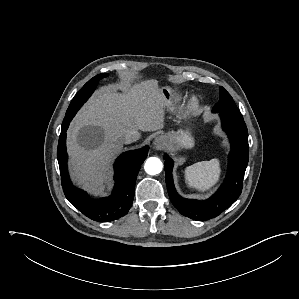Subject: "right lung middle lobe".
Here are the masks:
<instances>
[{
	"label": "right lung middle lobe",
	"mask_w": 299,
	"mask_h": 299,
	"mask_svg": "<svg viewBox=\"0 0 299 299\" xmlns=\"http://www.w3.org/2000/svg\"><path fill=\"white\" fill-rule=\"evenodd\" d=\"M108 74L102 73L99 75H96L92 79H90L82 88L81 90L75 95V97L72 99L68 110L66 112L65 118L63 120L64 123H66L69 119V121L72 120L76 112L79 110V108L86 102V100L91 96L93 91L95 90L98 82L100 79L106 77Z\"/></svg>",
	"instance_id": "obj_1"
}]
</instances>
